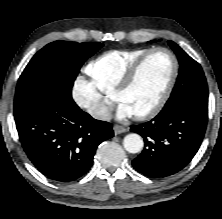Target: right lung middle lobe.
<instances>
[{
	"label": "right lung middle lobe",
	"instance_id": "right-lung-middle-lobe-1",
	"mask_svg": "<svg viewBox=\"0 0 222 219\" xmlns=\"http://www.w3.org/2000/svg\"><path fill=\"white\" fill-rule=\"evenodd\" d=\"M102 46L100 42L55 41L38 51L18 80L14 114L55 94L71 95L80 67Z\"/></svg>",
	"mask_w": 222,
	"mask_h": 219
}]
</instances>
